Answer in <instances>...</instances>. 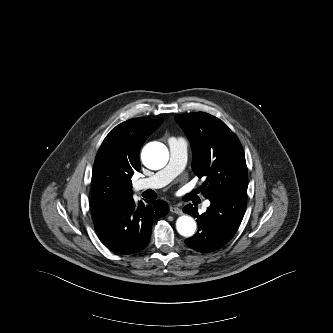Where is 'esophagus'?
Listing matches in <instances>:
<instances>
[{"label":"esophagus","mask_w":333,"mask_h":333,"mask_svg":"<svg viewBox=\"0 0 333 333\" xmlns=\"http://www.w3.org/2000/svg\"><path fill=\"white\" fill-rule=\"evenodd\" d=\"M170 211H171L172 213H175V214H178V215H181V214L183 213L182 210H181L180 208L175 207V206L170 207Z\"/></svg>","instance_id":"obj_1"}]
</instances>
